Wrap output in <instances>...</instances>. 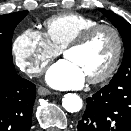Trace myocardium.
Returning <instances> with one entry per match:
<instances>
[{
    "mask_svg": "<svg viewBox=\"0 0 131 131\" xmlns=\"http://www.w3.org/2000/svg\"><path fill=\"white\" fill-rule=\"evenodd\" d=\"M103 29L111 31L115 37V41H116L115 54H114L112 62L110 63V65L107 67L105 71H103L101 74L95 77L87 79V82L89 84H99V83H103L107 81L118 69L121 59H122L123 47H124L123 38L118 28L112 24L98 23L82 31L76 38H74L70 43H68L62 50V53L65 56V54L68 51L83 47L84 45L87 44V42L91 39V37L94 34H96L98 31L103 30Z\"/></svg>",
    "mask_w": 131,
    "mask_h": 131,
    "instance_id": "f54148a6",
    "label": "myocardium"
}]
</instances>
